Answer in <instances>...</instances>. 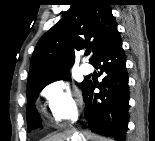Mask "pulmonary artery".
I'll return each mask as SVG.
<instances>
[{
    "label": "pulmonary artery",
    "mask_w": 155,
    "mask_h": 141,
    "mask_svg": "<svg viewBox=\"0 0 155 141\" xmlns=\"http://www.w3.org/2000/svg\"><path fill=\"white\" fill-rule=\"evenodd\" d=\"M80 71L84 75H88L93 71V68L90 64L84 63L80 66Z\"/></svg>",
    "instance_id": "obj_1"
}]
</instances>
